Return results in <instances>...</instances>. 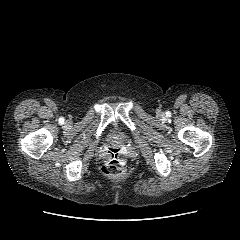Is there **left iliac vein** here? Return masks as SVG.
Instances as JSON below:
<instances>
[{
    "mask_svg": "<svg viewBox=\"0 0 240 240\" xmlns=\"http://www.w3.org/2000/svg\"><path fill=\"white\" fill-rule=\"evenodd\" d=\"M158 115L162 116V115H163V113H162V112H159V113H158Z\"/></svg>",
    "mask_w": 240,
    "mask_h": 240,
    "instance_id": "4c4485c4",
    "label": "left iliac vein"
}]
</instances>
